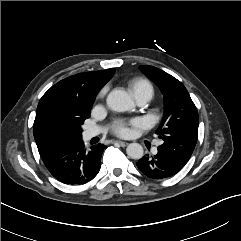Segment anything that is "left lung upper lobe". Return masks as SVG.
<instances>
[{
	"mask_svg": "<svg viewBox=\"0 0 241 241\" xmlns=\"http://www.w3.org/2000/svg\"><path fill=\"white\" fill-rule=\"evenodd\" d=\"M140 70L157 84L164 95V116L156 130L163 140L158 151L184 167L194 151L198 137L196 106L184 85L170 74L148 65L140 66Z\"/></svg>",
	"mask_w": 241,
	"mask_h": 241,
	"instance_id": "obj_1",
	"label": "left lung upper lobe"
}]
</instances>
